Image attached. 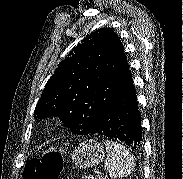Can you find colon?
<instances>
[{
	"label": "colon",
	"mask_w": 183,
	"mask_h": 179,
	"mask_svg": "<svg viewBox=\"0 0 183 179\" xmlns=\"http://www.w3.org/2000/svg\"><path fill=\"white\" fill-rule=\"evenodd\" d=\"M63 169V152L59 148L45 150L40 158L29 160L24 179H58Z\"/></svg>",
	"instance_id": "5ec220e1"
}]
</instances>
